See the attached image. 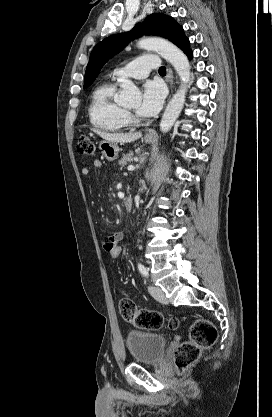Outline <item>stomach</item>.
<instances>
[{
    "label": "stomach",
    "mask_w": 272,
    "mask_h": 417,
    "mask_svg": "<svg viewBox=\"0 0 272 417\" xmlns=\"http://www.w3.org/2000/svg\"><path fill=\"white\" fill-rule=\"evenodd\" d=\"M144 141L149 144L153 142V138L145 137ZM99 148L108 161H115L118 158L119 146L117 143L104 140L100 142Z\"/></svg>",
    "instance_id": "stomach-1"
}]
</instances>
